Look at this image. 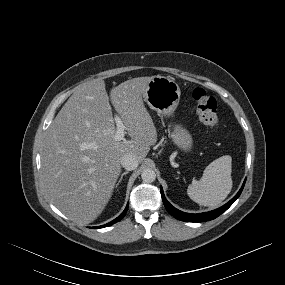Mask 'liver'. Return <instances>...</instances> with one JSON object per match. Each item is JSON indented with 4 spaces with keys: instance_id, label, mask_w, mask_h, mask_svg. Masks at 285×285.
I'll use <instances>...</instances> for the list:
<instances>
[{
    "instance_id": "liver-1",
    "label": "liver",
    "mask_w": 285,
    "mask_h": 285,
    "mask_svg": "<svg viewBox=\"0 0 285 285\" xmlns=\"http://www.w3.org/2000/svg\"><path fill=\"white\" fill-rule=\"evenodd\" d=\"M151 78H133L111 90L130 140L114 139L115 118L101 79L77 86L48 128L42 183L50 201L70 220L93 222L112 196L121 157L132 154L142 162L156 143L157 131L142 99Z\"/></svg>"
}]
</instances>
